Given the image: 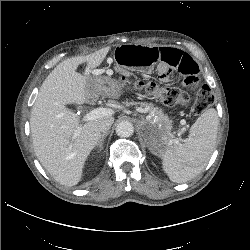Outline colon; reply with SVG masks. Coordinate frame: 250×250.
<instances>
[{
	"label": "colon",
	"instance_id": "1",
	"mask_svg": "<svg viewBox=\"0 0 250 250\" xmlns=\"http://www.w3.org/2000/svg\"><path fill=\"white\" fill-rule=\"evenodd\" d=\"M123 81L126 82L128 79L123 77ZM138 86L149 95L159 98L166 106L184 105L188 100L187 95L177 87L160 86L153 82H140ZM213 102L214 96L211 90L209 87L203 86L193 104V113L196 115L202 114Z\"/></svg>",
	"mask_w": 250,
	"mask_h": 250
}]
</instances>
